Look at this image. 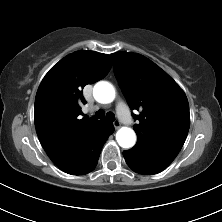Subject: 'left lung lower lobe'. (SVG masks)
I'll use <instances>...</instances> for the list:
<instances>
[{
	"label": "left lung lower lobe",
	"instance_id": "1",
	"mask_svg": "<svg viewBox=\"0 0 222 222\" xmlns=\"http://www.w3.org/2000/svg\"><path fill=\"white\" fill-rule=\"evenodd\" d=\"M123 156L128 166L135 172L140 174H156L164 170L168 165L161 163L148 155L137 151L127 150L123 152Z\"/></svg>",
	"mask_w": 222,
	"mask_h": 222
}]
</instances>
